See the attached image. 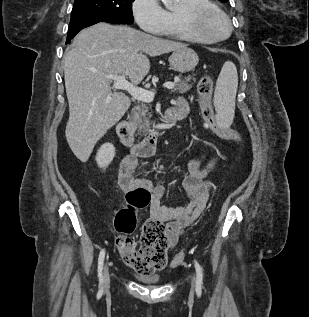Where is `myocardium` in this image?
Returning a JSON list of instances; mask_svg holds the SVG:
<instances>
[{
    "mask_svg": "<svg viewBox=\"0 0 309 317\" xmlns=\"http://www.w3.org/2000/svg\"><path fill=\"white\" fill-rule=\"evenodd\" d=\"M218 17L224 22L223 33H210L200 28V23L207 17ZM180 24L183 29L195 39L201 42H218L226 39L231 31L232 25L227 14L214 4H198L184 7L180 11Z\"/></svg>",
    "mask_w": 309,
    "mask_h": 317,
    "instance_id": "f54148a6",
    "label": "myocardium"
}]
</instances>
